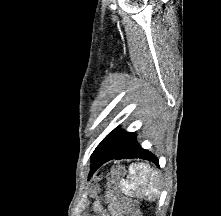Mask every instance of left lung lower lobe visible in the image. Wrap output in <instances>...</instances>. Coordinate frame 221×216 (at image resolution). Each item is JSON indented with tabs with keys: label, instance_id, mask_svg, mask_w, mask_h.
Instances as JSON below:
<instances>
[{
	"label": "left lung lower lobe",
	"instance_id": "0a47b994",
	"mask_svg": "<svg viewBox=\"0 0 221 216\" xmlns=\"http://www.w3.org/2000/svg\"><path fill=\"white\" fill-rule=\"evenodd\" d=\"M140 158L153 161L158 165V159L149 151L143 149L136 141V136L120 151L113 153L110 150H95L91 157V168L89 177L104 163L112 159Z\"/></svg>",
	"mask_w": 221,
	"mask_h": 216
}]
</instances>
